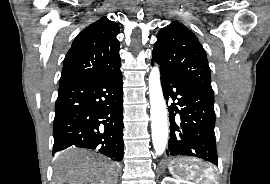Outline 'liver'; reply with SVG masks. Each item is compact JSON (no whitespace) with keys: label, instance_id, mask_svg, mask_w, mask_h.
Returning a JSON list of instances; mask_svg holds the SVG:
<instances>
[{"label":"liver","instance_id":"1","mask_svg":"<svg viewBox=\"0 0 270 184\" xmlns=\"http://www.w3.org/2000/svg\"><path fill=\"white\" fill-rule=\"evenodd\" d=\"M60 158L61 163L54 168L53 184H117L118 170L113 162L80 149L67 151Z\"/></svg>","mask_w":270,"mask_h":184}]
</instances>
